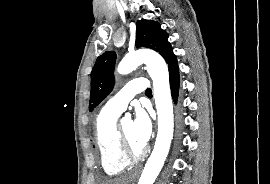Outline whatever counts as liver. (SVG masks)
Instances as JSON below:
<instances>
[{"mask_svg":"<svg viewBox=\"0 0 270 184\" xmlns=\"http://www.w3.org/2000/svg\"><path fill=\"white\" fill-rule=\"evenodd\" d=\"M130 177H122L118 179L106 180L104 184H128Z\"/></svg>","mask_w":270,"mask_h":184,"instance_id":"obj_1","label":"liver"}]
</instances>
